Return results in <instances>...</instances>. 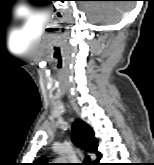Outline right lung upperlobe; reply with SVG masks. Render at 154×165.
Masks as SVG:
<instances>
[{
  "label": "right lung upper lobe",
  "mask_w": 154,
  "mask_h": 165,
  "mask_svg": "<svg viewBox=\"0 0 154 165\" xmlns=\"http://www.w3.org/2000/svg\"><path fill=\"white\" fill-rule=\"evenodd\" d=\"M72 140L74 144L81 146L88 152L98 154V140L94 137V131L84 121L77 120L72 126ZM33 165H51L46 157L38 158Z\"/></svg>",
  "instance_id": "obj_1"
}]
</instances>
